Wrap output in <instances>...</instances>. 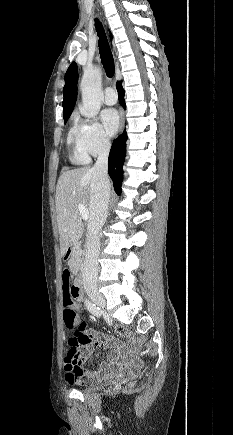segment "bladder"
I'll use <instances>...</instances> for the list:
<instances>
[{
	"instance_id": "obj_1",
	"label": "bladder",
	"mask_w": 233,
	"mask_h": 435,
	"mask_svg": "<svg viewBox=\"0 0 233 435\" xmlns=\"http://www.w3.org/2000/svg\"><path fill=\"white\" fill-rule=\"evenodd\" d=\"M102 385H90V384H84L80 387V390L82 392H92L97 391L101 388Z\"/></svg>"
}]
</instances>
